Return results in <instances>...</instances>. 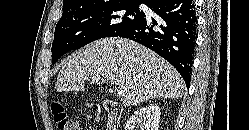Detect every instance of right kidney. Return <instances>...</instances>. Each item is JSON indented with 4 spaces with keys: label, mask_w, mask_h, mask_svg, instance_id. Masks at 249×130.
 Masks as SVG:
<instances>
[{
    "label": "right kidney",
    "mask_w": 249,
    "mask_h": 130,
    "mask_svg": "<svg viewBox=\"0 0 249 130\" xmlns=\"http://www.w3.org/2000/svg\"><path fill=\"white\" fill-rule=\"evenodd\" d=\"M160 108L151 104L139 108L128 119L125 130H159Z\"/></svg>",
    "instance_id": "1"
}]
</instances>
